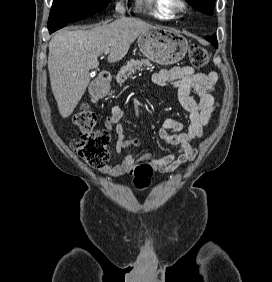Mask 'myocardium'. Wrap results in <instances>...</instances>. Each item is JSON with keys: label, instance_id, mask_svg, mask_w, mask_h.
<instances>
[{"label": "myocardium", "instance_id": "obj_1", "mask_svg": "<svg viewBox=\"0 0 272 282\" xmlns=\"http://www.w3.org/2000/svg\"><path fill=\"white\" fill-rule=\"evenodd\" d=\"M168 6L174 14H182L187 9V5L184 0H169Z\"/></svg>", "mask_w": 272, "mask_h": 282}]
</instances>
